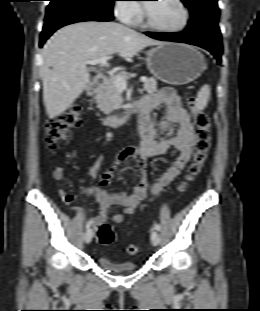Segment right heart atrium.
<instances>
[{"label":"right heart atrium","mask_w":260,"mask_h":311,"mask_svg":"<svg viewBox=\"0 0 260 311\" xmlns=\"http://www.w3.org/2000/svg\"><path fill=\"white\" fill-rule=\"evenodd\" d=\"M114 12L122 22L130 24L138 21L142 8L136 3L118 0L114 6Z\"/></svg>","instance_id":"d8ad5b80"}]
</instances>
